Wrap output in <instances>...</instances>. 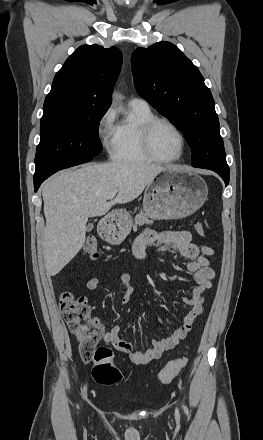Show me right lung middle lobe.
<instances>
[{
	"label": "right lung middle lobe",
	"instance_id": "1",
	"mask_svg": "<svg viewBox=\"0 0 263 440\" xmlns=\"http://www.w3.org/2000/svg\"><path fill=\"white\" fill-rule=\"evenodd\" d=\"M107 110L43 114L34 179L84 163L102 151L99 122Z\"/></svg>",
	"mask_w": 263,
	"mask_h": 440
}]
</instances>
